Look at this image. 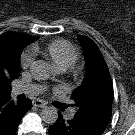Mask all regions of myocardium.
I'll return each mask as SVG.
<instances>
[{
    "mask_svg": "<svg viewBox=\"0 0 135 135\" xmlns=\"http://www.w3.org/2000/svg\"><path fill=\"white\" fill-rule=\"evenodd\" d=\"M81 75H82L81 68H79V67L75 68L74 71H73V77L75 79H77V78L81 77Z\"/></svg>",
    "mask_w": 135,
    "mask_h": 135,
    "instance_id": "1",
    "label": "myocardium"
}]
</instances>
